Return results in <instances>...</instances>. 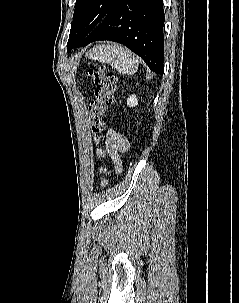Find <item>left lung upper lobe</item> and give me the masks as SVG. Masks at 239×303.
<instances>
[{
  "instance_id": "1",
  "label": "left lung upper lobe",
  "mask_w": 239,
  "mask_h": 303,
  "mask_svg": "<svg viewBox=\"0 0 239 303\" xmlns=\"http://www.w3.org/2000/svg\"><path fill=\"white\" fill-rule=\"evenodd\" d=\"M117 0H76L67 51L80 47L85 37L95 29Z\"/></svg>"
}]
</instances>
